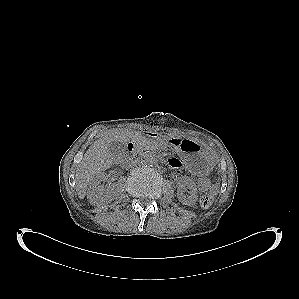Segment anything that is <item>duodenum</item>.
I'll return each instance as SVG.
<instances>
[{
  "instance_id": "duodenum-1",
  "label": "duodenum",
  "mask_w": 299,
  "mask_h": 299,
  "mask_svg": "<svg viewBox=\"0 0 299 299\" xmlns=\"http://www.w3.org/2000/svg\"><path fill=\"white\" fill-rule=\"evenodd\" d=\"M147 135H151L150 133H146ZM127 150L129 153H133L135 151V143L129 142L127 145Z\"/></svg>"
}]
</instances>
